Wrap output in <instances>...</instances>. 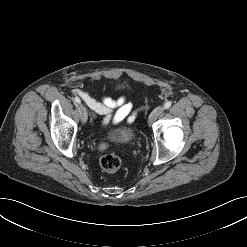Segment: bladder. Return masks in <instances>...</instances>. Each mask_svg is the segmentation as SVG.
I'll return each mask as SVG.
<instances>
[{
  "label": "bladder",
  "instance_id": "bladder-1",
  "mask_svg": "<svg viewBox=\"0 0 247 247\" xmlns=\"http://www.w3.org/2000/svg\"><path fill=\"white\" fill-rule=\"evenodd\" d=\"M134 138L135 133L131 128H121L114 136V139L120 142H131Z\"/></svg>",
  "mask_w": 247,
  "mask_h": 247
}]
</instances>
